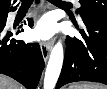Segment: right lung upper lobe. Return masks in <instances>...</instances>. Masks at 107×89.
<instances>
[{
    "mask_svg": "<svg viewBox=\"0 0 107 89\" xmlns=\"http://www.w3.org/2000/svg\"><path fill=\"white\" fill-rule=\"evenodd\" d=\"M16 0H14V3ZM11 0H0V12L6 9L11 8Z\"/></svg>",
    "mask_w": 107,
    "mask_h": 89,
    "instance_id": "cb5924a9",
    "label": "right lung upper lobe"
}]
</instances>
